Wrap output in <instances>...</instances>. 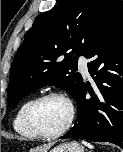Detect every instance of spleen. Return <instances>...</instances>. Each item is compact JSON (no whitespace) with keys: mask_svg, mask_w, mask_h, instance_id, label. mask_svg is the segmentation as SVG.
<instances>
[{"mask_svg":"<svg viewBox=\"0 0 123 152\" xmlns=\"http://www.w3.org/2000/svg\"><path fill=\"white\" fill-rule=\"evenodd\" d=\"M82 143L84 145H86L87 147L91 148V149L93 148V146L90 143L86 142V141H82Z\"/></svg>","mask_w":123,"mask_h":152,"instance_id":"obj_1","label":"spleen"}]
</instances>
